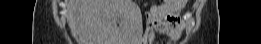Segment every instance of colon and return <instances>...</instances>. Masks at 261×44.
<instances>
[{"label": "colon", "instance_id": "obj_1", "mask_svg": "<svg viewBox=\"0 0 261 44\" xmlns=\"http://www.w3.org/2000/svg\"><path fill=\"white\" fill-rule=\"evenodd\" d=\"M186 1H175V0H169L166 1V4H170V6H183Z\"/></svg>", "mask_w": 261, "mask_h": 44}]
</instances>
